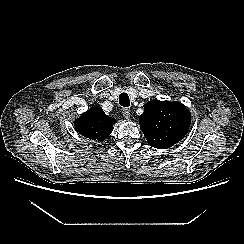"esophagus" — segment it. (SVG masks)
I'll return each instance as SVG.
<instances>
[{
	"label": "esophagus",
	"instance_id": "obj_1",
	"mask_svg": "<svg viewBox=\"0 0 244 244\" xmlns=\"http://www.w3.org/2000/svg\"><path fill=\"white\" fill-rule=\"evenodd\" d=\"M122 114H123V116H124L125 119H129L130 116H131V114H130V110H129L128 108H124V109L122 110Z\"/></svg>",
	"mask_w": 244,
	"mask_h": 244
}]
</instances>
